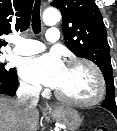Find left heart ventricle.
<instances>
[{"mask_svg": "<svg viewBox=\"0 0 117 131\" xmlns=\"http://www.w3.org/2000/svg\"><path fill=\"white\" fill-rule=\"evenodd\" d=\"M57 90L72 99L89 100L97 93V82L93 73L86 67L67 66Z\"/></svg>", "mask_w": 117, "mask_h": 131, "instance_id": "obj_1", "label": "left heart ventricle"}]
</instances>
